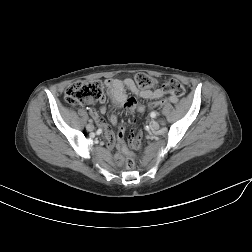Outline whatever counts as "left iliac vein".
<instances>
[{"label":"left iliac vein","instance_id":"obj_1","mask_svg":"<svg viewBox=\"0 0 252 252\" xmlns=\"http://www.w3.org/2000/svg\"><path fill=\"white\" fill-rule=\"evenodd\" d=\"M149 125H150V128L152 130H158L159 129V123L157 121H151Z\"/></svg>","mask_w":252,"mask_h":252}]
</instances>
